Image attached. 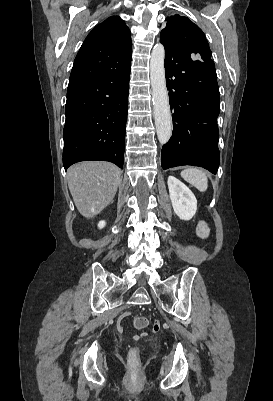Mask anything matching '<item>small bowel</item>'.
<instances>
[{"label":"small bowel","mask_w":273,"mask_h":401,"mask_svg":"<svg viewBox=\"0 0 273 401\" xmlns=\"http://www.w3.org/2000/svg\"><path fill=\"white\" fill-rule=\"evenodd\" d=\"M123 316H124L125 319H132L133 316H134V313H133L132 310H125L124 313H123ZM122 320H123L122 316H119L115 320V323L117 324V327H118V333L119 334H124L125 333V328L122 327V324H121ZM135 321H147V319L142 317V316H139V317L135 318ZM152 333L153 334H160L161 333V319L160 318H155L154 319ZM139 335H140L141 338L144 339V338H146L148 336V333L143 330V331L140 332Z\"/></svg>","instance_id":"1"}]
</instances>
